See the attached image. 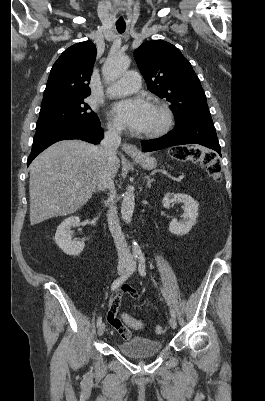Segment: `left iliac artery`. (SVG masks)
<instances>
[{
  "mask_svg": "<svg viewBox=\"0 0 265 401\" xmlns=\"http://www.w3.org/2000/svg\"><path fill=\"white\" fill-rule=\"evenodd\" d=\"M140 259V263H139V273L141 274V276H146V265H145V257L143 255L139 256ZM163 296L167 302V304L170 306V313L172 317H176V313L174 311V309L171 306L170 300L166 294L165 291H163Z\"/></svg>",
  "mask_w": 265,
  "mask_h": 401,
  "instance_id": "1",
  "label": "left iliac artery"
}]
</instances>
